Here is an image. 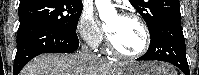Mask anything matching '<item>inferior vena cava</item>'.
<instances>
[{
	"label": "inferior vena cava",
	"mask_w": 199,
	"mask_h": 75,
	"mask_svg": "<svg viewBox=\"0 0 199 75\" xmlns=\"http://www.w3.org/2000/svg\"><path fill=\"white\" fill-rule=\"evenodd\" d=\"M86 52H87V48H86ZM92 56H95L94 54L91 53Z\"/></svg>",
	"instance_id": "1"
}]
</instances>
